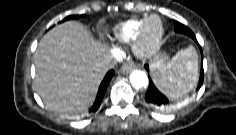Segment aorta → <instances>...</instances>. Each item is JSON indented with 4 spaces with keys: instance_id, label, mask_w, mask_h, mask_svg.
I'll return each mask as SVG.
<instances>
[{
    "instance_id": "aorta-1",
    "label": "aorta",
    "mask_w": 236,
    "mask_h": 135,
    "mask_svg": "<svg viewBox=\"0 0 236 135\" xmlns=\"http://www.w3.org/2000/svg\"><path fill=\"white\" fill-rule=\"evenodd\" d=\"M130 83L135 89L146 88L148 86V77L141 70H134L130 74Z\"/></svg>"
}]
</instances>
